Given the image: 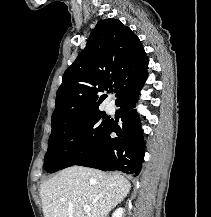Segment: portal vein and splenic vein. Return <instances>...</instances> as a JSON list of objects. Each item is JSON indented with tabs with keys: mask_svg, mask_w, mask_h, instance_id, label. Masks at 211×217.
Masks as SVG:
<instances>
[{
	"mask_svg": "<svg viewBox=\"0 0 211 217\" xmlns=\"http://www.w3.org/2000/svg\"><path fill=\"white\" fill-rule=\"evenodd\" d=\"M84 211L86 213H89L91 211V208L89 206H84Z\"/></svg>",
	"mask_w": 211,
	"mask_h": 217,
	"instance_id": "obj_1",
	"label": "portal vein and splenic vein"
}]
</instances>
